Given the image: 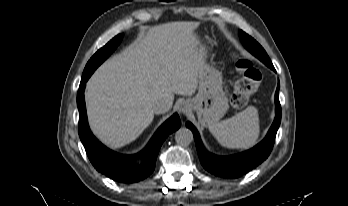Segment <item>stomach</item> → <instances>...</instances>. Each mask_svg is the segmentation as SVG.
<instances>
[{
  "label": "stomach",
  "instance_id": "1",
  "mask_svg": "<svg viewBox=\"0 0 348 206\" xmlns=\"http://www.w3.org/2000/svg\"><path fill=\"white\" fill-rule=\"evenodd\" d=\"M198 78V94L193 98V109L200 121L209 125L222 118L228 109V101L222 91V75L203 62Z\"/></svg>",
  "mask_w": 348,
  "mask_h": 206
}]
</instances>
